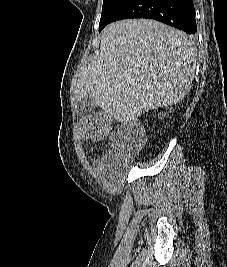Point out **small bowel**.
Masks as SVG:
<instances>
[{"label":"small bowel","mask_w":227,"mask_h":267,"mask_svg":"<svg viewBox=\"0 0 227 267\" xmlns=\"http://www.w3.org/2000/svg\"><path fill=\"white\" fill-rule=\"evenodd\" d=\"M118 134H119V132H116L114 134V138H118ZM106 159H107V154L106 155H98L95 158L94 163H95V165L97 167H101L104 164V162H105Z\"/></svg>","instance_id":"small-bowel-1"}]
</instances>
